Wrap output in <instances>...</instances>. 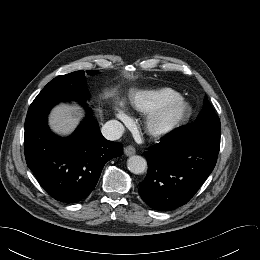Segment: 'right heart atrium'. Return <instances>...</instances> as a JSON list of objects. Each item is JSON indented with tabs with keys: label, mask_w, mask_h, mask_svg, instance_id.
<instances>
[{
	"label": "right heart atrium",
	"mask_w": 260,
	"mask_h": 260,
	"mask_svg": "<svg viewBox=\"0 0 260 260\" xmlns=\"http://www.w3.org/2000/svg\"><path fill=\"white\" fill-rule=\"evenodd\" d=\"M115 115L119 120H121L123 122H127L129 120L127 110L122 104H119L115 108Z\"/></svg>",
	"instance_id": "right-heart-atrium-1"
}]
</instances>
